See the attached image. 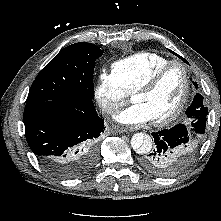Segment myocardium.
<instances>
[{
	"instance_id": "obj_1",
	"label": "myocardium",
	"mask_w": 221,
	"mask_h": 221,
	"mask_svg": "<svg viewBox=\"0 0 221 221\" xmlns=\"http://www.w3.org/2000/svg\"><path fill=\"white\" fill-rule=\"evenodd\" d=\"M173 66H179L183 71L185 83L184 91L179 103L173 111L160 119L153 120V123L157 126H164L176 120L187 105L191 93V77L187 65L180 60H170L169 62L158 68L143 84H141L133 92L132 95L133 98L137 94L152 91L159 84L166 72Z\"/></svg>"
}]
</instances>
